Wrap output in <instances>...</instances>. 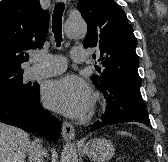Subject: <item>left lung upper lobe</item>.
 Returning <instances> with one entry per match:
<instances>
[{
	"label": "left lung upper lobe",
	"mask_w": 168,
	"mask_h": 162,
	"mask_svg": "<svg viewBox=\"0 0 168 162\" xmlns=\"http://www.w3.org/2000/svg\"><path fill=\"white\" fill-rule=\"evenodd\" d=\"M78 10L87 23L85 48L96 47L104 69L92 77L98 90L126 84L140 88L137 40L125 12L113 0H79ZM95 57V55H93Z\"/></svg>",
	"instance_id": "left-lung-upper-lobe-1"
}]
</instances>
